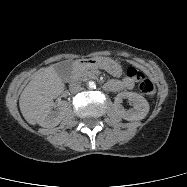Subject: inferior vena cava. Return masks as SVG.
I'll use <instances>...</instances> for the list:
<instances>
[{
	"mask_svg": "<svg viewBox=\"0 0 187 187\" xmlns=\"http://www.w3.org/2000/svg\"><path fill=\"white\" fill-rule=\"evenodd\" d=\"M69 90L71 93H77L82 90L80 83H71L69 85Z\"/></svg>",
	"mask_w": 187,
	"mask_h": 187,
	"instance_id": "inferior-vena-cava-1",
	"label": "inferior vena cava"
}]
</instances>
